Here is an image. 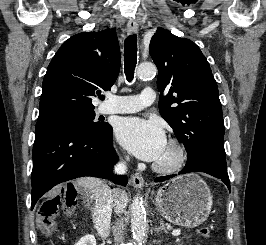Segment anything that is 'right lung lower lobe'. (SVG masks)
<instances>
[{"label":"right lung lower lobe","mask_w":266,"mask_h":245,"mask_svg":"<svg viewBox=\"0 0 266 245\" xmlns=\"http://www.w3.org/2000/svg\"><path fill=\"white\" fill-rule=\"evenodd\" d=\"M117 160L112 127L108 123L101 132H90L77 124L58 123L36 133L31 208L55 185L80 176L106 178L126 185V176L112 174Z\"/></svg>","instance_id":"right-lung-lower-lobe-1"}]
</instances>
